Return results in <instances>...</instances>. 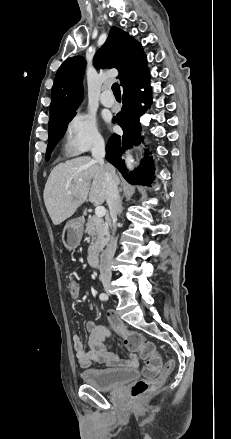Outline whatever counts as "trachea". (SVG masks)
Instances as JSON below:
<instances>
[{"label":"trachea","instance_id":"3493384b","mask_svg":"<svg viewBox=\"0 0 231 439\" xmlns=\"http://www.w3.org/2000/svg\"><path fill=\"white\" fill-rule=\"evenodd\" d=\"M112 91L115 97H121L120 86L117 83L112 85Z\"/></svg>","mask_w":231,"mask_h":439}]
</instances>
